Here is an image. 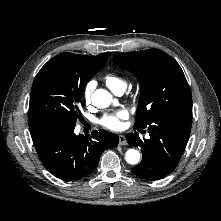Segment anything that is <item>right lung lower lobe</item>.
<instances>
[{
	"label": "right lung lower lobe",
	"mask_w": 221,
	"mask_h": 221,
	"mask_svg": "<svg viewBox=\"0 0 221 221\" xmlns=\"http://www.w3.org/2000/svg\"><path fill=\"white\" fill-rule=\"evenodd\" d=\"M32 140L44 167L65 181L79 180L96 168L103 151L118 145V135L105 130L92 136L76 135L74 129L45 126L32 133Z\"/></svg>",
	"instance_id": "obj_1"
}]
</instances>
